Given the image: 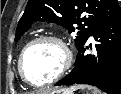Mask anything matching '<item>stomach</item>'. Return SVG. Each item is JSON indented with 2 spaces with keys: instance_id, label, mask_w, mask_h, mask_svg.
<instances>
[{
  "instance_id": "stomach-1",
  "label": "stomach",
  "mask_w": 121,
  "mask_h": 94,
  "mask_svg": "<svg viewBox=\"0 0 121 94\" xmlns=\"http://www.w3.org/2000/svg\"><path fill=\"white\" fill-rule=\"evenodd\" d=\"M49 94H101L99 90L92 87H85L81 85L72 86L70 88L61 89Z\"/></svg>"
}]
</instances>
